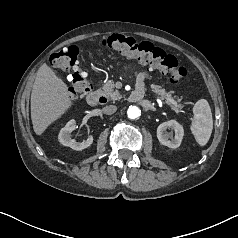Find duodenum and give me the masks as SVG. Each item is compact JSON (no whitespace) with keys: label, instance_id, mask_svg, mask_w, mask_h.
Returning a JSON list of instances; mask_svg holds the SVG:
<instances>
[{"label":"duodenum","instance_id":"410a0bca","mask_svg":"<svg viewBox=\"0 0 238 238\" xmlns=\"http://www.w3.org/2000/svg\"><path fill=\"white\" fill-rule=\"evenodd\" d=\"M144 96V87L142 85L136 86V88L130 93L128 100L130 102L140 101ZM87 103L90 106H97L101 103L106 102V98L100 92L94 91L90 92L86 98Z\"/></svg>","mask_w":238,"mask_h":238}]
</instances>
